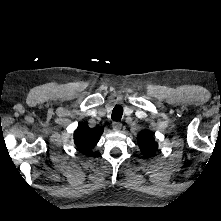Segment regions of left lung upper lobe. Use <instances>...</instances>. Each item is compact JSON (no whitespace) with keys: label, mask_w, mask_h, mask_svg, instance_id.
I'll use <instances>...</instances> for the list:
<instances>
[{"label":"left lung upper lobe","mask_w":221,"mask_h":221,"mask_svg":"<svg viewBox=\"0 0 221 221\" xmlns=\"http://www.w3.org/2000/svg\"><path fill=\"white\" fill-rule=\"evenodd\" d=\"M137 142L145 156L152 155L158 148V144L154 141L153 136L148 132L138 135Z\"/></svg>","instance_id":"5c2ea615"}]
</instances>
